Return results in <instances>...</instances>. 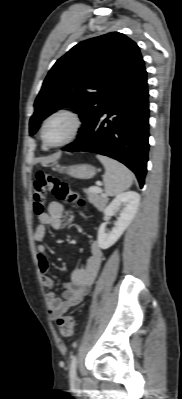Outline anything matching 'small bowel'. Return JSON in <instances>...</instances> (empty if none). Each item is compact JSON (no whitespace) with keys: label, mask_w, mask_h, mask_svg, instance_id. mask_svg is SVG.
<instances>
[{"label":"small bowel","mask_w":182,"mask_h":399,"mask_svg":"<svg viewBox=\"0 0 182 399\" xmlns=\"http://www.w3.org/2000/svg\"><path fill=\"white\" fill-rule=\"evenodd\" d=\"M64 223V206L59 201L50 202L47 212L39 216V224L34 230V239L39 242L43 241L46 237L48 226L54 229H61ZM37 260L43 284L52 289L54 280L48 274L50 261L48 247L45 243H39L37 246ZM101 261L102 249L97 241H93L90 245V256L86 264L72 272L71 283L64 285L63 296L60 297L53 291L47 293L46 301L49 316L52 320L60 318L82 301L96 278Z\"/></svg>","instance_id":"1"}]
</instances>
